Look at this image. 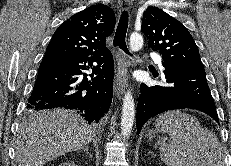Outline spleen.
Masks as SVG:
<instances>
[{
  "label": "spleen",
  "instance_id": "3e777b00",
  "mask_svg": "<svg viewBox=\"0 0 231 166\" xmlns=\"http://www.w3.org/2000/svg\"><path fill=\"white\" fill-rule=\"evenodd\" d=\"M155 126L170 137L160 146L161 160L167 166H225L218 137L201 127L193 115L168 111L156 119Z\"/></svg>",
  "mask_w": 231,
  "mask_h": 166
}]
</instances>
